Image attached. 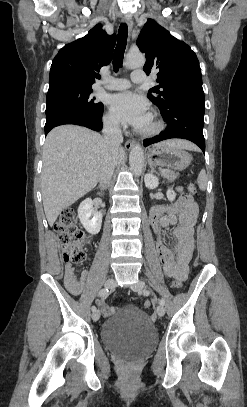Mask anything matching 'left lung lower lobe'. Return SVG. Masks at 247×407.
<instances>
[{
	"label": "left lung lower lobe",
	"mask_w": 247,
	"mask_h": 407,
	"mask_svg": "<svg viewBox=\"0 0 247 407\" xmlns=\"http://www.w3.org/2000/svg\"><path fill=\"white\" fill-rule=\"evenodd\" d=\"M205 106L199 103H180L173 105L166 115V129L159 135L144 140V146L170 138H182L194 142L205 152L203 136Z\"/></svg>",
	"instance_id": "obj_1"
}]
</instances>
